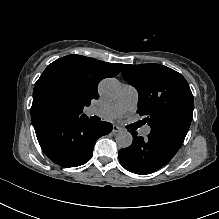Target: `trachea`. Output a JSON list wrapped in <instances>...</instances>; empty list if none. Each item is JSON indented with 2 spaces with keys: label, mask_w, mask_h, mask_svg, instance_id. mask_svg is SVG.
Returning <instances> with one entry per match:
<instances>
[{
  "label": "trachea",
  "mask_w": 219,
  "mask_h": 219,
  "mask_svg": "<svg viewBox=\"0 0 219 219\" xmlns=\"http://www.w3.org/2000/svg\"><path fill=\"white\" fill-rule=\"evenodd\" d=\"M92 119L95 120V121H97L96 116H93ZM97 122H98V121H97Z\"/></svg>",
  "instance_id": "trachea-1"
}]
</instances>
